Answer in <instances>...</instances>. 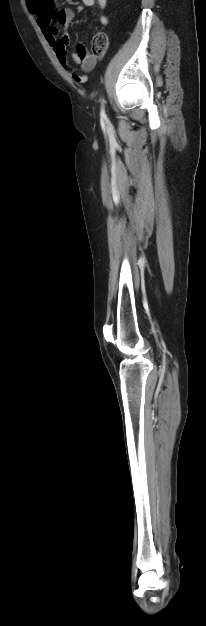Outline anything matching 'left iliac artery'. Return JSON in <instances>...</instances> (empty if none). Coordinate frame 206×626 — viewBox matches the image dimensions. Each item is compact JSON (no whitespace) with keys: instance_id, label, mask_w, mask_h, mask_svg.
I'll use <instances>...</instances> for the list:
<instances>
[{"instance_id":"1","label":"left iliac artery","mask_w":206,"mask_h":626,"mask_svg":"<svg viewBox=\"0 0 206 626\" xmlns=\"http://www.w3.org/2000/svg\"><path fill=\"white\" fill-rule=\"evenodd\" d=\"M104 100L102 99L101 116H105Z\"/></svg>"}]
</instances>
